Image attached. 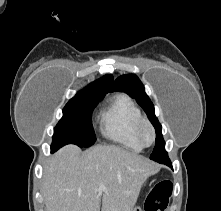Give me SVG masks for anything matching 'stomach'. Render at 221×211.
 Instances as JSON below:
<instances>
[{
	"label": "stomach",
	"instance_id": "1",
	"mask_svg": "<svg viewBox=\"0 0 221 211\" xmlns=\"http://www.w3.org/2000/svg\"><path fill=\"white\" fill-rule=\"evenodd\" d=\"M149 181V176L147 178H145V180L143 181V184L142 186H146V184L148 183ZM131 211H143L142 208L138 205H135Z\"/></svg>",
	"mask_w": 221,
	"mask_h": 211
}]
</instances>
